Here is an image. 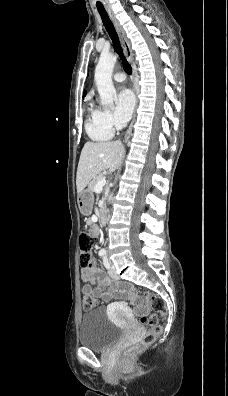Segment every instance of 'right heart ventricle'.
<instances>
[{
  "label": "right heart ventricle",
  "mask_w": 228,
  "mask_h": 396,
  "mask_svg": "<svg viewBox=\"0 0 228 396\" xmlns=\"http://www.w3.org/2000/svg\"><path fill=\"white\" fill-rule=\"evenodd\" d=\"M85 129L88 136L94 141H107L113 136L114 131L101 120L100 112L97 109L90 108L89 117L85 124Z\"/></svg>",
  "instance_id": "right-heart-ventricle-1"
}]
</instances>
